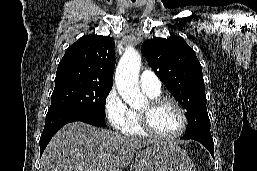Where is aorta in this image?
Listing matches in <instances>:
<instances>
[{
	"mask_svg": "<svg viewBox=\"0 0 257 171\" xmlns=\"http://www.w3.org/2000/svg\"><path fill=\"white\" fill-rule=\"evenodd\" d=\"M140 66V54L130 48L125 51L116 69L118 93L131 108H137L145 102L139 87Z\"/></svg>",
	"mask_w": 257,
	"mask_h": 171,
	"instance_id": "1",
	"label": "aorta"
}]
</instances>
